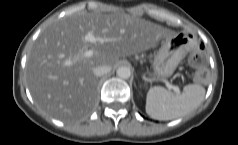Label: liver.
Here are the masks:
<instances>
[{"label":"liver","instance_id":"1","mask_svg":"<svg viewBox=\"0 0 238 145\" xmlns=\"http://www.w3.org/2000/svg\"><path fill=\"white\" fill-rule=\"evenodd\" d=\"M88 33L98 41H86ZM167 36V29L125 13H73L52 22L35 41L26 64L28 88L48 115L79 119L97 102L95 67L112 68L120 58L147 51ZM89 49L93 55L85 57Z\"/></svg>","mask_w":238,"mask_h":145}]
</instances>
